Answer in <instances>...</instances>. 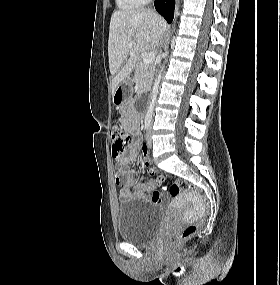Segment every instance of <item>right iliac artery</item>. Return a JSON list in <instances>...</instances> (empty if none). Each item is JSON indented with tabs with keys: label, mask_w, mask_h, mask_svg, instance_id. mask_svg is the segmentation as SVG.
Returning a JSON list of instances; mask_svg holds the SVG:
<instances>
[{
	"label": "right iliac artery",
	"mask_w": 280,
	"mask_h": 285,
	"mask_svg": "<svg viewBox=\"0 0 280 285\" xmlns=\"http://www.w3.org/2000/svg\"><path fill=\"white\" fill-rule=\"evenodd\" d=\"M150 122H151V118L150 117H146L145 118V123H144L145 130H147L149 128Z\"/></svg>",
	"instance_id": "82829eb1"
}]
</instances>
